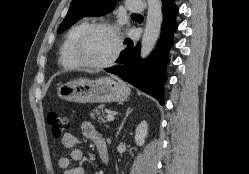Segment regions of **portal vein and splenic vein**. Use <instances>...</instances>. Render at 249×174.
I'll return each instance as SVG.
<instances>
[{
  "label": "portal vein and splenic vein",
  "mask_w": 249,
  "mask_h": 174,
  "mask_svg": "<svg viewBox=\"0 0 249 174\" xmlns=\"http://www.w3.org/2000/svg\"><path fill=\"white\" fill-rule=\"evenodd\" d=\"M107 120L108 121H113L114 119H115V117H114V114L113 113H108V115H107Z\"/></svg>",
  "instance_id": "portal-vein-and-splenic-vein-1"
}]
</instances>
